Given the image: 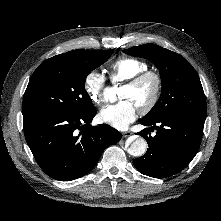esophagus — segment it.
Returning a JSON list of instances; mask_svg holds the SVG:
<instances>
[{
  "label": "esophagus",
  "instance_id": "obj_1",
  "mask_svg": "<svg viewBox=\"0 0 221 221\" xmlns=\"http://www.w3.org/2000/svg\"><path fill=\"white\" fill-rule=\"evenodd\" d=\"M132 135V132H130V131H124V132H122V136L124 137V138H127V137H129V136H131Z\"/></svg>",
  "mask_w": 221,
  "mask_h": 221
}]
</instances>
